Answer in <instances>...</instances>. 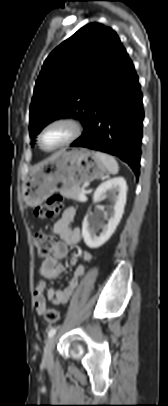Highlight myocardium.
<instances>
[{"label": "myocardium", "instance_id": "f54148a6", "mask_svg": "<svg viewBox=\"0 0 168 406\" xmlns=\"http://www.w3.org/2000/svg\"><path fill=\"white\" fill-rule=\"evenodd\" d=\"M54 125H65L67 127H69L70 129V134L67 137V139L61 143L60 145L54 147V148H46L43 146L42 144V134L44 133V131ZM83 132V126L81 124V122L72 117V116H60L57 118H54L50 121H48L46 124L43 125V127L40 129L38 135H37V142L39 147L46 151V152H53V151H57L60 149H63L67 146H69L71 143H73L74 141H76Z\"/></svg>", "mask_w": 168, "mask_h": 406}]
</instances>
